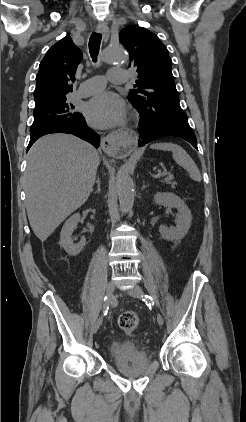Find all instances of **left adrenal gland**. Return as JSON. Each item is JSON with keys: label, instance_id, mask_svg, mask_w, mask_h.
I'll list each match as a JSON object with an SVG mask.
<instances>
[{"label": "left adrenal gland", "instance_id": "left-adrenal-gland-1", "mask_svg": "<svg viewBox=\"0 0 246 422\" xmlns=\"http://www.w3.org/2000/svg\"><path fill=\"white\" fill-rule=\"evenodd\" d=\"M145 188H147V185H145V182H143L142 190H144Z\"/></svg>", "mask_w": 246, "mask_h": 422}]
</instances>
